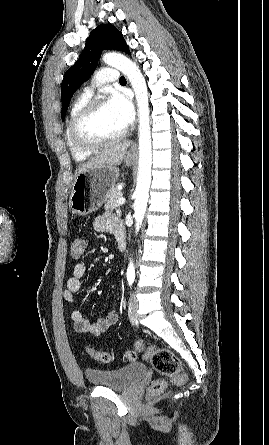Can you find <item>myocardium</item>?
Wrapping results in <instances>:
<instances>
[{
    "label": "myocardium",
    "mask_w": 269,
    "mask_h": 445,
    "mask_svg": "<svg viewBox=\"0 0 269 445\" xmlns=\"http://www.w3.org/2000/svg\"><path fill=\"white\" fill-rule=\"evenodd\" d=\"M105 103H107V101L103 98H93L89 100L73 117L70 124V138L78 149L86 152H95L106 145L120 141L127 135V128L112 137L100 139H90L83 134L82 129L84 124Z\"/></svg>",
    "instance_id": "myocardium-1"
}]
</instances>
